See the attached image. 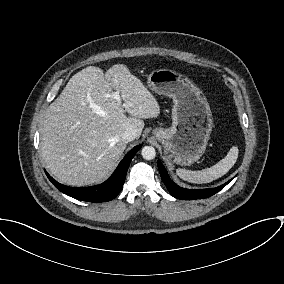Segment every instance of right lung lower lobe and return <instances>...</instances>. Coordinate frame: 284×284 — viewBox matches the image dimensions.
I'll return each instance as SVG.
<instances>
[{
  "instance_id": "1",
  "label": "right lung lower lobe",
  "mask_w": 284,
  "mask_h": 284,
  "mask_svg": "<svg viewBox=\"0 0 284 284\" xmlns=\"http://www.w3.org/2000/svg\"><path fill=\"white\" fill-rule=\"evenodd\" d=\"M141 145L136 146L120 162L112 176L104 183L92 187L75 188L62 185L55 181L46 171V175L53 185L64 194L87 202H106L112 200L121 191L131 160Z\"/></svg>"
}]
</instances>
